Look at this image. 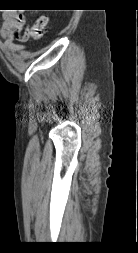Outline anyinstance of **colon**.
I'll use <instances>...</instances> for the list:
<instances>
[{
  "label": "colon",
  "instance_id": "1",
  "mask_svg": "<svg viewBox=\"0 0 138 253\" xmlns=\"http://www.w3.org/2000/svg\"><path fill=\"white\" fill-rule=\"evenodd\" d=\"M48 17L45 15L39 16L34 22L29 31L30 37L34 40H41L47 29Z\"/></svg>",
  "mask_w": 138,
  "mask_h": 253
}]
</instances>
